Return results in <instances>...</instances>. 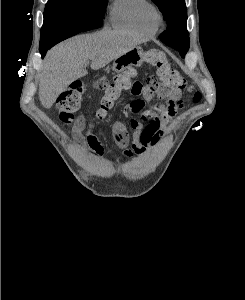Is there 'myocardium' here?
Instances as JSON below:
<instances>
[{
  "label": "myocardium",
  "mask_w": 245,
  "mask_h": 300,
  "mask_svg": "<svg viewBox=\"0 0 245 300\" xmlns=\"http://www.w3.org/2000/svg\"><path fill=\"white\" fill-rule=\"evenodd\" d=\"M152 20L159 25L160 23V16L158 12L155 10V12L152 15Z\"/></svg>",
  "instance_id": "f54148a6"
}]
</instances>
